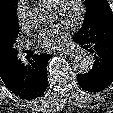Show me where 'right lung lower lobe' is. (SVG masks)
Here are the masks:
<instances>
[{
  "instance_id": "98d812e1",
  "label": "right lung lower lobe",
  "mask_w": 113,
  "mask_h": 113,
  "mask_svg": "<svg viewBox=\"0 0 113 113\" xmlns=\"http://www.w3.org/2000/svg\"><path fill=\"white\" fill-rule=\"evenodd\" d=\"M52 55H33L27 63L14 58L13 64L2 81L22 99H36L45 92L47 81L46 66Z\"/></svg>"
}]
</instances>
